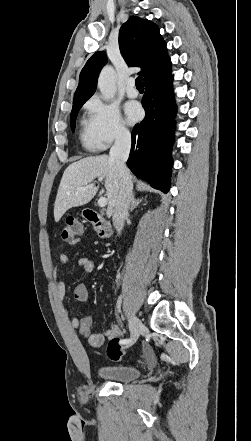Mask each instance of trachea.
Returning a JSON list of instances; mask_svg holds the SVG:
<instances>
[{"label": "trachea", "mask_w": 251, "mask_h": 441, "mask_svg": "<svg viewBox=\"0 0 251 441\" xmlns=\"http://www.w3.org/2000/svg\"><path fill=\"white\" fill-rule=\"evenodd\" d=\"M136 87H143V82H142L141 76L136 78Z\"/></svg>", "instance_id": "1"}]
</instances>
